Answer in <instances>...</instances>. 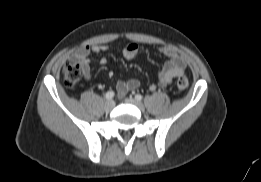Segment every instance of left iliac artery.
Wrapping results in <instances>:
<instances>
[{
	"instance_id": "44dca946",
	"label": "left iliac artery",
	"mask_w": 261,
	"mask_h": 182,
	"mask_svg": "<svg viewBox=\"0 0 261 182\" xmlns=\"http://www.w3.org/2000/svg\"><path fill=\"white\" fill-rule=\"evenodd\" d=\"M135 99H136L137 101H141V100L143 99V96H142L141 94H136V95H135Z\"/></svg>"
}]
</instances>
